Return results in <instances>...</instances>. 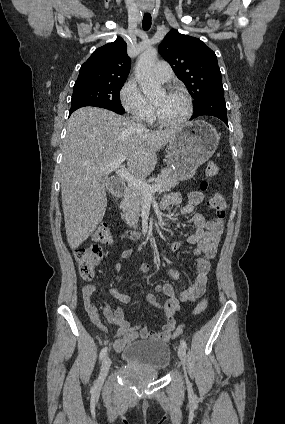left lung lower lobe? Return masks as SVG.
I'll return each mask as SVG.
<instances>
[{
	"mask_svg": "<svg viewBox=\"0 0 285 424\" xmlns=\"http://www.w3.org/2000/svg\"><path fill=\"white\" fill-rule=\"evenodd\" d=\"M204 115L217 117L228 125L224 95H215L205 99L199 106L194 108L191 119Z\"/></svg>",
	"mask_w": 285,
	"mask_h": 424,
	"instance_id": "1",
	"label": "left lung lower lobe"
}]
</instances>
